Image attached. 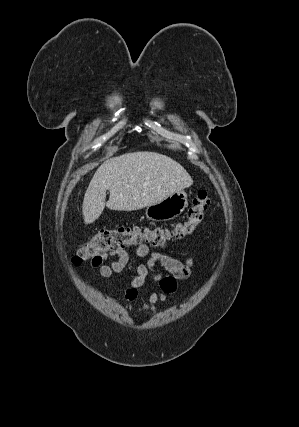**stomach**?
<instances>
[{"label":"stomach","mask_w":299,"mask_h":427,"mask_svg":"<svg viewBox=\"0 0 299 427\" xmlns=\"http://www.w3.org/2000/svg\"><path fill=\"white\" fill-rule=\"evenodd\" d=\"M187 205V194L180 190L155 204L147 206L145 214L152 221H169L178 217Z\"/></svg>","instance_id":"stomach-1"}]
</instances>
